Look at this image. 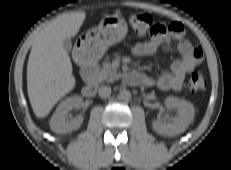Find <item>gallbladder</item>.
<instances>
[{
  "mask_svg": "<svg viewBox=\"0 0 231 170\" xmlns=\"http://www.w3.org/2000/svg\"><path fill=\"white\" fill-rule=\"evenodd\" d=\"M63 47L67 52H70L72 49V42L70 40V38H65L63 40Z\"/></svg>",
  "mask_w": 231,
  "mask_h": 170,
  "instance_id": "bac80fb5",
  "label": "gallbladder"
}]
</instances>
